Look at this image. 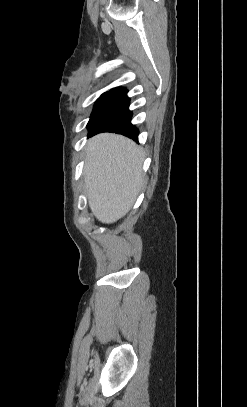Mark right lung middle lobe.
I'll list each match as a JSON object with an SVG mask.
<instances>
[{"label":"right lung middle lobe","instance_id":"dd1d6c3e","mask_svg":"<svg viewBox=\"0 0 247 407\" xmlns=\"http://www.w3.org/2000/svg\"><path fill=\"white\" fill-rule=\"evenodd\" d=\"M127 90H114L101 95L96 101L94 110L88 122L89 132L94 130L106 117L129 103Z\"/></svg>","mask_w":247,"mask_h":407}]
</instances>
